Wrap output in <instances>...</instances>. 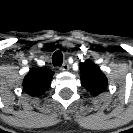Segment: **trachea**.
Segmentation results:
<instances>
[{
	"label": "trachea",
	"mask_w": 133,
	"mask_h": 133,
	"mask_svg": "<svg viewBox=\"0 0 133 133\" xmlns=\"http://www.w3.org/2000/svg\"><path fill=\"white\" fill-rule=\"evenodd\" d=\"M63 62V56L60 51H56L52 56V63L54 66H61Z\"/></svg>",
	"instance_id": "obj_1"
}]
</instances>
